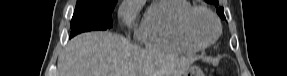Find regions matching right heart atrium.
Masks as SVG:
<instances>
[{"label": "right heart atrium", "instance_id": "1", "mask_svg": "<svg viewBox=\"0 0 287 76\" xmlns=\"http://www.w3.org/2000/svg\"><path fill=\"white\" fill-rule=\"evenodd\" d=\"M140 3L137 0H127L120 8V16L126 22L131 21L139 12Z\"/></svg>", "mask_w": 287, "mask_h": 76}]
</instances>
